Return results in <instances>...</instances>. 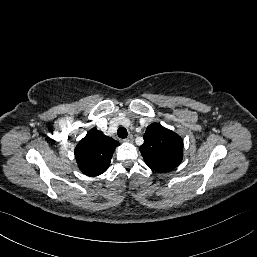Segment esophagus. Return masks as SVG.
Listing matches in <instances>:
<instances>
[{"instance_id":"34e87169","label":"esophagus","mask_w":257,"mask_h":257,"mask_svg":"<svg viewBox=\"0 0 257 257\" xmlns=\"http://www.w3.org/2000/svg\"><path fill=\"white\" fill-rule=\"evenodd\" d=\"M127 143H132L134 141V137L132 135H129L126 139H124Z\"/></svg>"}]
</instances>
